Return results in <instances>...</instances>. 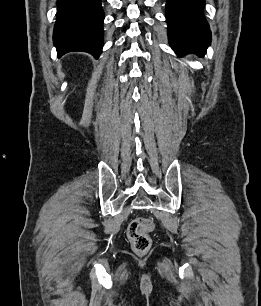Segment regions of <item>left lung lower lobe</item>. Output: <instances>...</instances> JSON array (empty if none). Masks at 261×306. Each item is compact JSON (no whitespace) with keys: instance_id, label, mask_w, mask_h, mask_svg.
Wrapping results in <instances>:
<instances>
[{"instance_id":"obj_1","label":"left lung lower lobe","mask_w":261,"mask_h":306,"mask_svg":"<svg viewBox=\"0 0 261 306\" xmlns=\"http://www.w3.org/2000/svg\"><path fill=\"white\" fill-rule=\"evenodd\" d=\"M205 0H167L169 42L177 55L203 56L211 43V32L202 9Z\"/></svg>"}]
</instances>
